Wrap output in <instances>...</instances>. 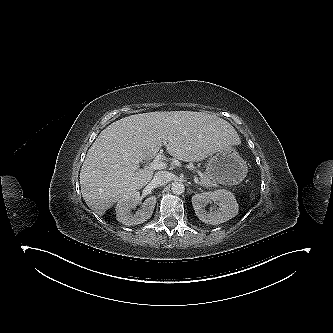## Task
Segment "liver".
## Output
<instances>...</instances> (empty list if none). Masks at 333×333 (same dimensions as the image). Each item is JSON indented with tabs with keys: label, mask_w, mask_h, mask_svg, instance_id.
Listing matches in <instances>:
<instances>
[{
	"label": "liver",
	"mask_w": 333,
	"mask_h": 333,
	"mask_svg": "<svg viewBox=\"0 0 333 333\" xmlns=\"http://www.w3.org/2000/svg\"><path fill=\"white\" fill-rule=\"evenodd\" d=\"M241 143L224 119L201 112H149L122 118L106 127L87 152L80 171L82 197L103 215L124 195L140 190L153 177L141 169L165 145L174 158L199 162Z\"/></svg>",
	"instance_id": "6515ba94"
}]
</instances>
